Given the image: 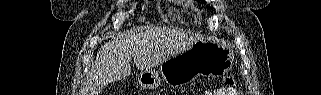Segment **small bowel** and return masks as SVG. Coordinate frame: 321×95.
<instances>
[{"mask_svg": "<svg viewBox=\"0 0 321 95\" xmlns=\"http://www.w3.org/2000/svg\"><path fill=\"white\" fill-rule=\"evenodd\" d=\"M206 95H235V91L233 89H226V88H222V89H218L214 92H206Z\"/></svg>", "mask_w": 321, "mask_h": 95, "instance_id": "1", "label": "small bowel"}]
</instances>
